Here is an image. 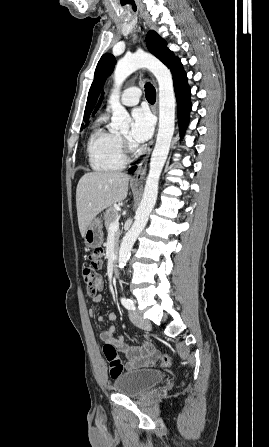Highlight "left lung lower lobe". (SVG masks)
Instances as JSON below:
<instances>
[{
    "label": "left lung lower lobe",
    "mask_w": 269,
    "mask_h": 447,
    "mask_svg": "<svg viewBox=\"0 0 269 447\" xmlns=\"http://www.w3.org/2000/svg\"><path fill=\"white\" fill-rule=\"evenodd\" d=\"M170 70L173 75L174 91L177 98L178 121L181 135H183L188 124L189 112L191 111L190 88L187 84L186 73L183 70L182 64L179 59H176V61L170 67ZM135 169L136 167H133L129 170V172H134Z\"/></svg>",
    "instance_id": "1"
}]
</instances>
